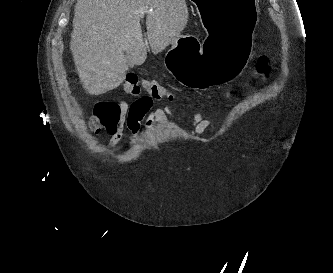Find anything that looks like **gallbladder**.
Segmentation results:
<instances>
[{"label":"gallbladder","instance_id":"bac80fb5","mask_svg":"<svg viewBox=\"0 0 333 273\" xmlns=\"http://www.w3.org/2000/svg\"><path fill=\"white\" fill-rule=\"evenodd\" d=\"M126 64H127V69L133 67L134 65L129 57H126Z\"/></svg>","mask_w":333,"mask_h":273}]
</instances>
